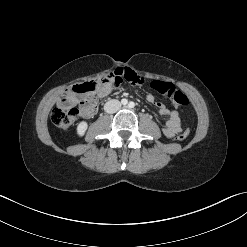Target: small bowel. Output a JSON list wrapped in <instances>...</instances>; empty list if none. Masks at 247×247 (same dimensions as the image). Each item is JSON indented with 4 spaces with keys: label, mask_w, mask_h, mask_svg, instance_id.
<instances>
[{
    "label": "small bowel",
    "mask_w": 247,
    "mask_h": 247,
    "mask_svg": "<svg viewBox=\"0 0 247 247\" xmlns=\"http://www.w3.org/2000/svg\"><path fill=\"white\" fill-rule=\"evenodd\" d=\"M113 74L116 77H119L121 80L123 78L127 79L130 76H137L133 70L130 68H118ZM118 88V86L113 83H108L103 85L97 92L99 97H105L110 94L114 89ZM146 99L149 103L155 104L158 108V113L162 117H168V120L165 123V127L163 129V133L166 137L172 138L181 130V118L179 112L176 110H170L164 104L160 102H156L154 95L148 94ZM97 112V104L86 105L83 101L81 102V114L84 118H91Z\"/></svg>",
    "instance_id": "1"
}]
</instances>
